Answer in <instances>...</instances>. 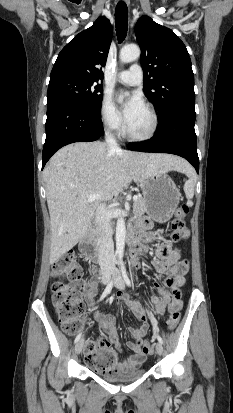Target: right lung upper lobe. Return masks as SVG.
Listing matches in <instances>:
<instances>
[{"label": "right lung upper lobe", "mask_w": 233, "mask_h": 413, "mask_svg": "<svg viewBox=\"0 0 233 413\" xmlns=\"http://www.w3.org/2000/svg\"><path fill=\"white\" fill-rule=\"evenodd\" d=\"M112 40V27L105 17L76 35L59 53L50 74V81L80 78L97 82L103 79Z\"/></svg>", "instance_id": "right-lung-upper-lobe-1"}]
</instances>
